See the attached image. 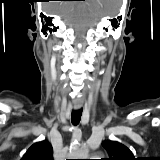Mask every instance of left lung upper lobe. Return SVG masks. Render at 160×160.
Returning a JSON list of instances; mask_svg holds the SVG:
<instances>
[{
  "instance_id": "1",
  "label": "left lung upper lobe",
  "mask_w": 160,
  "mask_h": 160,
  "mask_svg": "<svg viewBox=\"0 0 160 160\" xmlns=\"http://www.w3.org/2000/svg\"><path fill=\"white\" fill-rule=\"evenodd\" d=\"M102 146L109 155V158L102 160H136L130 149L119 142L107 140Z\"/></svg>"
}]
</instances>
